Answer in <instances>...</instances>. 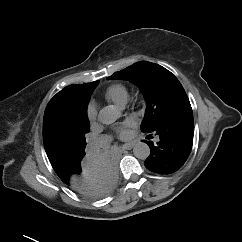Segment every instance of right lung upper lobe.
Listing matches in <instances>:
<instances>
[{
    "label": "right lung upper lobe",
    "mask_w": 242,
    "mask_h": 242,
    "mask_svg": "<svg viewBox=\"0 0 242 242\" xmlns=\"http://www.w3.org/2000/svg\"><path fill=\"white\" fill-rule=\"evenodd\" d=\"M99 81L67 86L48 103L43 119V141L48 159L55 171L67 167L76 159L71 153L56 149L58 134L65 128L80 124L87 115L91 93Z\"/></svg>",
    "instance_id": "right-lung-upper-lobe-1"
}]
</instances>
